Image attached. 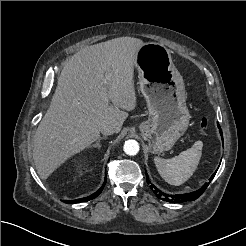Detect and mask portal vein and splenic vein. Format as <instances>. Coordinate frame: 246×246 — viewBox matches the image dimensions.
<instances>
[{
	"mask_svg": "<svg viewBox=\"0 0 246 246\" xmlns=\"http://www.w3.org/2000/svg\"><path fill=\"white\" fill-rule=\"evenodd\" d=\"M111 76V73H108L107 77H110Z\"/></svg>",
	"mask_w": 246,
	"mask_h": 246,
	"instance_id": "1",
	"label": "portal vein and splenic vein"
}]
</instances>
